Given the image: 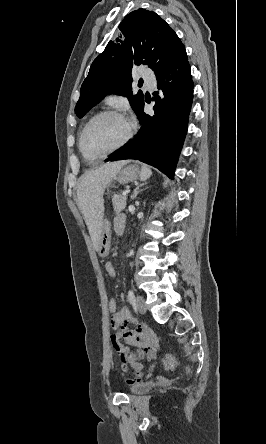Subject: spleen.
<instances>
[{
    "label": "spleen",
    "mask_w": 266,
    "mask_h": 444,
    "mask_svg": "<svg viewBox=\"0 0 266 444\" xmlns=\"http://www.w3.org/2000/svg\"><path fill=\"white\" fill-rule=\"evenodd\" d=\"M142 171H143V174H144L143 179H147L152 174L151 170L147 166H145V165L142 166Z\"/></svg>",
    "instance_id": "3e777b00"
}]
</instances>
